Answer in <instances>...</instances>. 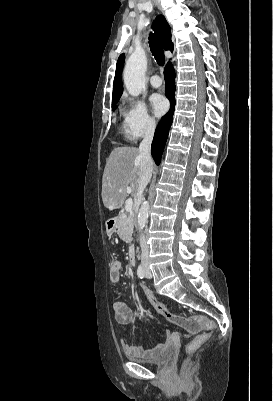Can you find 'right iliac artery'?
I'll return each mask as SVG.
<instances>
[{
	"mask_svg": "<svg viewBox=\"0 0 273 401\" xmlns=\"http://www.w3.org/2000/svg\"><path fill=\"white\" fill-rule=\"evenodd\" d=\"M137 275L141 279L144 278L145 272H144L142 265H139L138 270H137Z\"/></svg>",
	"mask_w": 273,
	"mask_h": 401,
	"instance_id": "82829eb1",
	"label": "right iliac artery"
}]
</instances>
